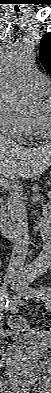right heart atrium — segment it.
Here are the masks:
<instances>
[{"mask_svg": "<svg viewBox=\"0 0 51 393\" xmlns=\"http://www.w3.org/2000/svg\"><path fill=\"white\" fill-rule=\"evenodd\" d=\"M27 122L28 118L18 113L6 99H0V130L2 133L14 138H24L28 133Z\"/></svg>", "mask_w": 51, "mask_h": 393, "instance_id": "obj_1", "label": "right heart atrium"}]
</instances>
